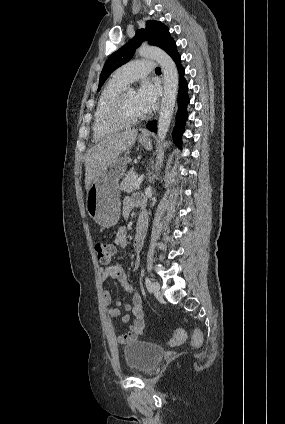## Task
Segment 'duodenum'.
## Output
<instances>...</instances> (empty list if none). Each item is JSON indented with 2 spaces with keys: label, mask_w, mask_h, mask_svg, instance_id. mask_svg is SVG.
I'll list each match as a JSON object with an SVG mask.
<instances>
[{
  "label": "duodenum",
  "mask_w": 285,
  "mask_h": 424,
  "mask_svg": "<svg viewBox=\"0 0 285 424\" xmlns=\"http://www.w3.org/2000/svg\"><path fill=\"white\" fill-rule=\"evenodd\" d=\"M146 226H147V216L146 214H141L136 222V232L137 236L143 238L146 233Z\"/></svg>",
  "instance_id": "1"
}]
</instances>
